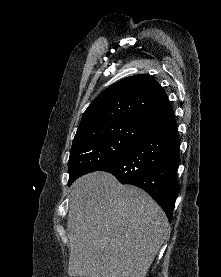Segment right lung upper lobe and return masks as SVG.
Returning a JSON list of instances; mask_svg holds the SVG:
<instances>
[{
  "label": "right lung upper lobe",
  "mask_w": 221,
  "mask_h": 277,
  "mask_svg": "<svg viewBox=\"0 0 221 277\" xmlns=\"http://www.w3.org/2000/svg\"><path fill=\"white\" fill-rule=\"evenodd\" d=\"M166 103L165 91L151 75L124 78L105 89L90 104L77 133L100 125L139 122L142 116Z\"/></svg>",
  "instance_id": "right-lung-upper-lobe-1"
}]
</instances>
